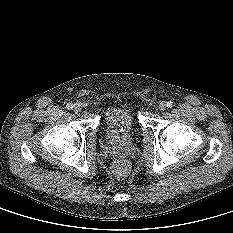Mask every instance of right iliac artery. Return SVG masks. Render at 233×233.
<instances>
[{
	"mask_svg": "<svg viewBox=\"0 0 233 233\" xmlns=\"http://www.w3.org/2000/svg\"><path fill=\"white\" fill-rule=\"evenodd\" d=\"M66 107H67V109H72L73 108V104L72 103H68L67 105H66Z\"/></svg>",
	"mask_w": 233,
	"mask_h": 233,
	"instance_id": "obj_1",
	"label": "right iliac artery"
}]
</instances>
